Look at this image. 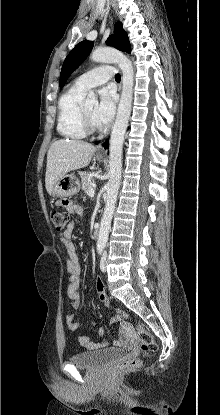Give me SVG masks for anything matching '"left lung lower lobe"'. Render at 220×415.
<instances>
[{
  "instance_id": "obj_1",
  "label": "left lung lower lobe",
  "mask_w": 220,
  "mask_h": 415,
  "mask_svg": "<svg viewBox=\"0 0 220 415\" xmlns=\"http://www.w3.org/2000/svg\"><path fill=\"white\" fill-rule=\"evenodd\" d=\"M108 146H109V144H108V142H106V143L104 144V147H105V148H108Z\"/></svg>"
}]
</instances>
